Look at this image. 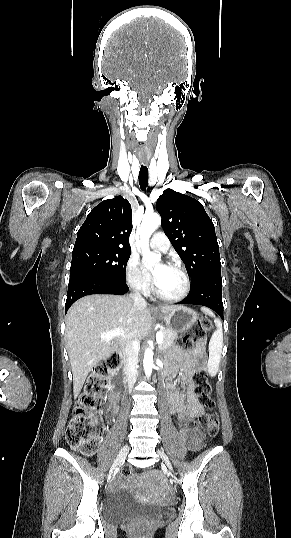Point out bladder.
<instances>
[{
	"mask_svg": "<svg viewBox=\"0 0 291 538\" xmlns=\"http://www.w3.org/2000/svg\"><path fill=\"white\" fill-rule=\"evenodd\" d=\"M161 512L162 509L157 506L139 503L126 490L110 494L104 502V515L112 523H119L139 515H158Z\"/></svg>",
	"mask_w": 291,
	"mask_h": 538,
	"instance_id": "1",
	"label": "bladder"
}]
</instances>
